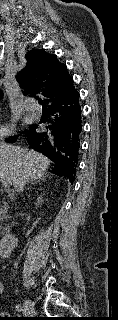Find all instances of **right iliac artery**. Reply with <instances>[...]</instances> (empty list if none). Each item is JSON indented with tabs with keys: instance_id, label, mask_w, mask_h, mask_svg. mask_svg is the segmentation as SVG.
<instances>
[{
	"instance_id": "82829eb1",
	"label": "right iliac artery",
	"mask_w": 118,
	"mask_h": 320,
	"mask_svg": "<svg viewBox=\"0 0 118 320\" xmlns=\"http://www.w3.org/2000/svg\"><path fill=\"white\" fill-rule=\"evenodd\" d=\"M16 310L19 311V312L23 311L22 306L21 305H16Z\"/></svg>"
}]
</instances>
